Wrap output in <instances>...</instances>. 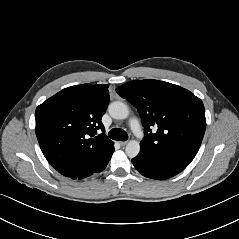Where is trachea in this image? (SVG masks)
<instances>
[{
  "label": "trachea",
  "instance_id": "3493384b",
  "mask_svg": "<svg viewBox=\"0 0 239 239\" xmlns=\"http://www.w3.org/2000/svg\"><path fill=\"white\" fill-rule=\"evenodd\" d=\"M109 138L118 141H126L128 139V134L120 128H113L108 134Z\"/></svg>",
  "mask_w": 239,
  "mask_h": 239
}]
</instances>
